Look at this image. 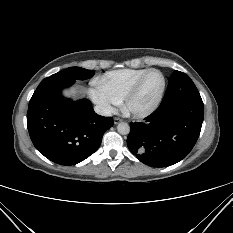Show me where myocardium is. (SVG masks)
<instances>
[{
	"label": "myocardium",
	"instance_id": "myocardium-1",
	"mask_svg": "<svg viewBox=\"0 0 233 233\" xmlns=\"http://www.w3.org/2000/svg\"><path fill=\"white\" fill-rule=\"evenodd\" d=\"M152 72H157L161 75L162 77L161 90L157 98L155 99V101L150 106H148L145 109L136 110L132 107V101L136 97L138 92L140 91L145 78ZM165 89H166V77L163 74V72H161L158 69H154V68L148 69L137 79V81L132 85V87L125 94L122 100V108L124 112L131 117L138 118V119L145 118L149 116L150 114H152L159 107L164 97Z\"/></svg>",
	"mask_w": 233,
	"mask_h": 233
}]
</instances>
